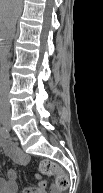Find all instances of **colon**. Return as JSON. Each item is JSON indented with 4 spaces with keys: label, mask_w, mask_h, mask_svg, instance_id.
<instances>
[{
    "label": "colon",
    "mask_w": 103,
    "mask_h": 193,
    "mask_svg": "<svg viewBox=\"0 0 103 193\" xmlns=\"http://www.w3.org/2000/svg\"><path fill=\"white\" fill-rule=\"evenodd\" d=\"M40 171L45 175L54 176L55 183L60 189H67L69 186V178L67 174L55 162L44 159L40 162Z\"/></svg>",
    "instance_id": "obj_1"
}]
</instances>
